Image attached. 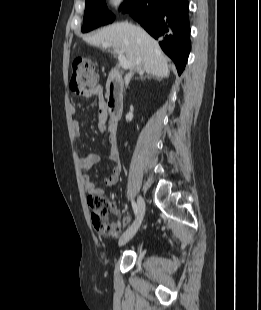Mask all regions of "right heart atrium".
Here are the masks:
<instances>
[{
    "label": "right heart atrium",
    "mask_w": 261,
    "mask_h": 310,
    "mask_svg": "<svg viewBox=\"0 0 261 310\" xmlns=\"http://www.w3.org/2000/svg\"><path fill=\"white\" fill-rule=\"evenodd\" d=\"M108 4L114 11H120L125 5V0H108Z\"/></svg>",
    "instance_id": "d8ad5b80"
}]
</instances>
